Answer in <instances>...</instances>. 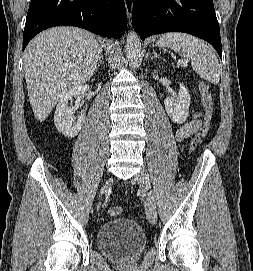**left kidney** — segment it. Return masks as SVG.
<instances>
[{
    "instance_id": "5707ae66",
    "label": "left kidney",
    "mask_w": 253,
    "mask_h": 271,
    "mask_svg": "<svg viewBox=\"0 0 253 271\" xmlns=\"http://www.w3.org/2000/svg\"><path fill=\"white\" fill-rule=\"evenodd\" d=\"M179 92L176 96L167 97L164 101L168 116L174 123L182 124L186 121L189 114L191 96L187 87L179 83Z\"/></svg>"
}]
</instances>
